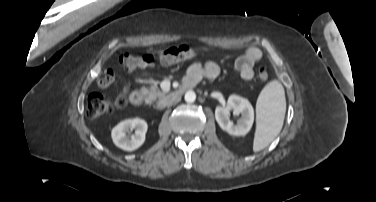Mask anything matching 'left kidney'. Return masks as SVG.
I'll list each match as a JSON object with an SVG mask.
<instances>
[{
  "instance_id": "5707ae66",
  "label": "left kidney",
  "mask_w": 376,
  "mask_h": 202,
  "mask_svg": "<svg viewBox=\"0 0 376 202\" xmlns=\"http://www.w3.org/2000/svg\"><path fill=\"white\" fill-rule=\"evenodd\" d=\"M241 114L242 117L237 124H234L229 118V112ZM215 118L220 128L230 135L244 136L250 130L254 122V110L247 99L237 95H231L228 98L227 105L216 107Z\"/></svg>"
}]
</instances>
